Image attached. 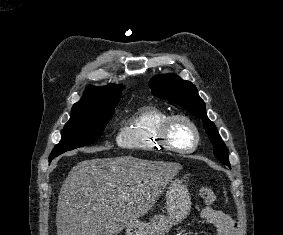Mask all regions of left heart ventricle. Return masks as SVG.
<instances>
[{"mask_svg": "<svg viewBox=\"0 0 283 235\" xmlns=\"http://www.w3.org/2000/svg\"><path fill=\"white\" fill-rule=\"evenodd\" d=\"M172 143L180 148L191 147L194 143V135L191 128L184 122H174L170 128Z\"/></svg>", "mask_w": 283, "mask_h": 235, "instance_id": "1", "label": "left heart ventricle"}]
</instances>
